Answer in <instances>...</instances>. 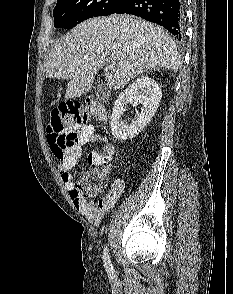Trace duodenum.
I'll return each mask as SVG.
<instances>
[{
    "instance_id": "obj_1",
    "label": "duodenum",
    "mask_w": 233,
    "mask_h": 294,
    "mask_svg": "<svg viewBox=\"0 0 233 294\" xmlns=\"http://www.w3.org/2000/svg\"><path fill=\"white\" fill-rule=\"evenodd\" d=\"M88 108L92 114L100 121L107 119V112L103 105L94 101L93 99H87L86 101Z\"/></svg>"
}]
</instances>
